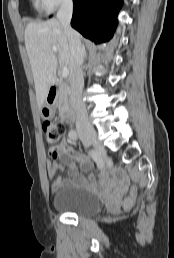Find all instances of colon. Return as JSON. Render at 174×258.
I'll use <instances>...</instances> for the list:
<instances>
[{
  "instance_id": "colon-1",
  "label": "colon",
  "mask_w": 174,
  "mask_h": 258,
  "mask_svg": "<svg viewBox=\"0 0 174 258\" xmlns=\"http://www.w3.org/2000/svg\"><path fill=\"white\" fill-rule=\"evenodd\" d=\"M43 133L45 135V139L48 145L52 146V155L54 157L58 156V151L56 150V146L60 142V139L65 133V125L56 120H47L43 123L42 126ZM136 197V188L132 187L130 191V195L124 200L123 208L129 209Z\"/></svg>"
}]
</instances>
